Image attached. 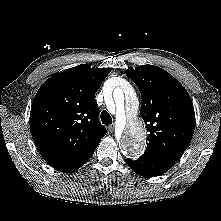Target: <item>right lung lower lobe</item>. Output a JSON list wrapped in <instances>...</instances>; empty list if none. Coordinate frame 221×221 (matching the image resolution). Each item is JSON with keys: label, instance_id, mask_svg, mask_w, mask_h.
Instances as JSON below:
<instances>
[{"label": "right lung lower lobe", "instance_id": "obj_1", "mask_svg": "<svg viewBox=\"0 0 221 221\" xmlns=\"http://www.w3.org/2000/svg\"><path fill=\"white\" fill-rule=\"evenodd\" d=\"M96 147L97 146L89 149L88 151L79 155L78 157H76L72 161L56 168V170L61 171V172H65V173H70V172L76 171L78 168H80L83 164H85L92 157Z\"/></svg>", "mask_w": 221, "mask_h": 221}]
</instances>
